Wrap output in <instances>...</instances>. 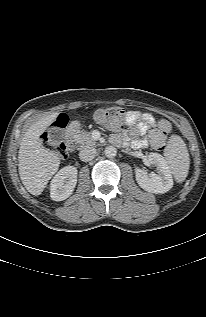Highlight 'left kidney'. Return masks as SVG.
<instances>
[{
  "label": "left kidney",
  "instance_id": "obj_1",
  "mask_svg": "<svg viewBox=\"0 0 206 317\" xmlns=\"http://www.w3.org/2000/svg\"><path fill=\"white\" fill-rule=\"evenodd\" d=\"M148 162L157 167V174L153 172L147 173L145 170L137 168L135 176L138 185L151 193H166L173 187L172 174L167 162L158 153H150L148 155Z\"/></svg>",
  "mask_w": 206,
  "mask_h": 317
}]
</instances>
